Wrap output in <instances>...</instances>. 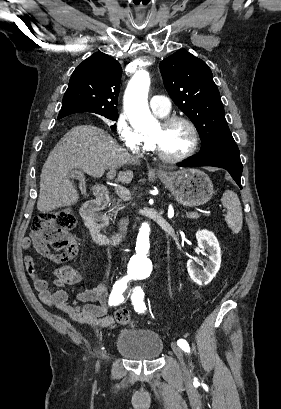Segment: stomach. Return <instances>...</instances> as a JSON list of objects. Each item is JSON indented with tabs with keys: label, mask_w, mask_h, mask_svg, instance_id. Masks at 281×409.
<instances>
[{
	"label": "stomach",
	"mask_w": 281,
	"mask_h": 409,
	"mask_svg": "<svg viewBox=\"0 0 281 409\" xmlns=\"http://www.w3.org/2000/svg\"><path fill=\"white\" fill-rule=\"evenodd\" d=\"M162 182L169 188L171 194L185 207L205 205L213 196V184L208 174L198 168H181L175 172H161ZM92 190H99V184H94Z\"/></svg>",
	"instance_id": "obj_1"
}]
</instances>
